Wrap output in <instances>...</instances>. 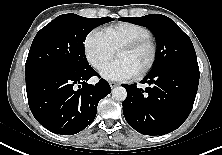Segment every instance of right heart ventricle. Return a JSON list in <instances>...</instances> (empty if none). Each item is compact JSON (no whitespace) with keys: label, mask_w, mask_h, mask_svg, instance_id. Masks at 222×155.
I'll return each mask as SVG.
<instances>
[{"label":"right heart ventricle","mask_w":222,"mask_h":155,"mask_svg":"<svg viewBox=\"0 0 222 155\" xmlns=\"http://www.w3.org/2000/svg\"><path fill=\"white\" fill-rule=\"evenodd\" d=\"M102 34L114 51L123 44L132 42L139 38L152 36V32L149 28L132 22H122L105 27L102 30Z\"/></svg>","instance_id":"right-heart-ventricle-1"}]
</instances>
